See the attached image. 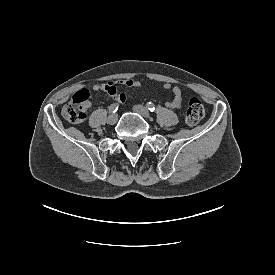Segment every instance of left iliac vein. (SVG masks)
Returning a JSON list of instances; mask_svg holds the SVG:
<instances>
[{
  "instance_id": "left-iliac-vein-1",
  "label": "left iliac vein",
  "mask_w": 275,
  "mask_h": 275,
  "mask_svg": "<svg viewBox=\"0 0 275 275\" xmlns=\"http://www.w3.org/2000/svg\"><path fill=\"white\" fill-rule=\"evenodd\" d=\"M133 110L135 112H137L138 114H140L141 116H143L144 118H146V119L151 118V115H150L149 111L142 105H135L133 107Z\"/></svg>"
}]
</instances>
